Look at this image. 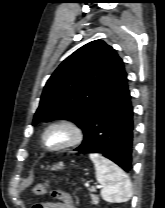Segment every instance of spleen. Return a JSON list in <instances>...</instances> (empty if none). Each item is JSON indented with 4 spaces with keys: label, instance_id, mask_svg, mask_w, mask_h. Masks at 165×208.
Listing matches in <instances>:
<instances>
[{
    "label": "spleen",
    "instance_id": "3e777b00",
    "mask_svg": "<svg viewBox=\"0 0 165 208\" xmlns=\"http://www.w3.org/2000/svg\"><path fill=\"white\" fill-rule=\"evenodd\" d=\"M96 169V179L102 185L101 196L107 202H126L132 197L130 179L123 170L100 154L89 155Z\"/></svg>",
    "mask_w": 165,
    "mask_h": 208
}]
</instances>
